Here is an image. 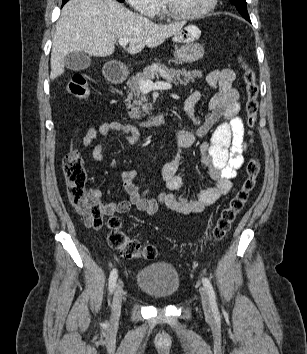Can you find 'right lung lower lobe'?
<instances>
[{"instance_id":"obj_1","label":"right lung lower lobe","mask_w":307,"mask_h":354,"mask_svg":"<svg viewBox=\"0 0 307 354\" xmlns=\"http://www.w3.org/2000/svg\"><path fill=\"white\" fill-rule=\"evenodd\" d=\"M68 0H62V6L67 2Z\"/></svg>"}]
</instances>
